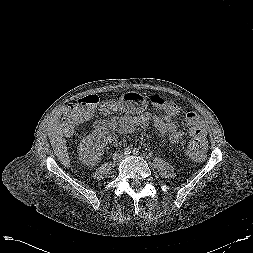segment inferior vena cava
<instances>
[{
  "label": "inferior vena cava",
  "instance_id": "602c4592",
  "mask_svg": "<svg viewBox=\"0 0 253 253\" xmlns=\"http://www.w3.org/2000/svg\"><path fill=\"white\" fill-rule=\"evenodd\" d=\"M124 154L123 153H115L114 154V160H116V161H121L123 158H124Z\"/></svg>",
  "mask_w": 253,
  "mask_h": 253
}]
</instances>
